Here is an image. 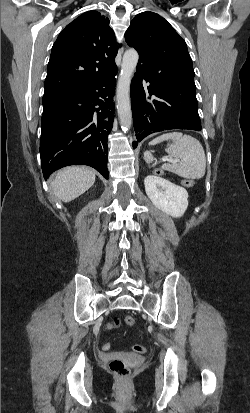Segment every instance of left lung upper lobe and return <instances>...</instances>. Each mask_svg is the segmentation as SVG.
I'll return each instance as SVG.
<instances>
[{"mask_svg":"<svg viewBox=\"0 0 250 413\" xmlns=\"http://www.w3.org/2000/svg\"><path fill=\"white\" fill-rule=\"evenodd\" d=\"M125 40L139 53L138 69L160 80L173 78L179 83L194 82L192 59L187 45L160 15L142 12L134 17Z\"/></svg>","mask_w":250,"mask_h":413,"instance_id":"obj_1","label":"left lung upper lobe"}]
</instances>
